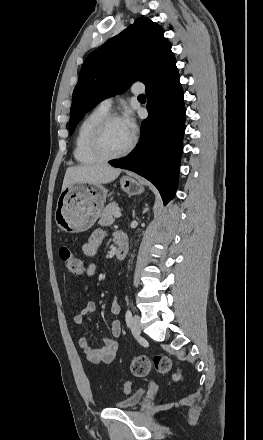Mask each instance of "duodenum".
<instances>
[{
	"label": "duodenum",
	"instance_id": "410a0bca",
	"mask_svg": "<svg viewBox=\"0 0 263 440\" xmlns=\"http://www.w3.org/2000/svg\"><path fill=\"white\" fill-rule=\"evenodd\" d=\"M116 244H117V246H116L115 257L117 260H122L126 257L127 252H128L127 240H126V238H119L116 241Z\"/></svg>",
	"mask_w": 263,
	"mask_h": 440
}]
</instances>
